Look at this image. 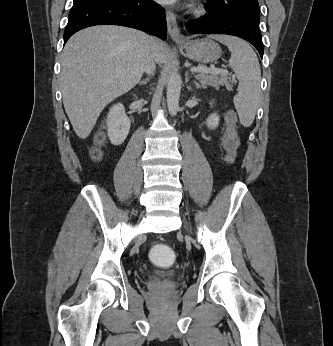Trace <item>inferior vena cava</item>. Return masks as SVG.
<instances>
[{"label":"inferior vena cava","instance_id":"obj_1","mask_svg":"<svg viewBox=\"0 0 333 346\" xmlns=\"http://www.w3.org/2000/svg\"><path fill=\"white\" fill-rule=\"evenodd\" d=\"M144 70L149 75H153L155 72V58L150 50L146 54Z\"/></svg>","mask_w":333,"mask_h":346}]
</instances>
